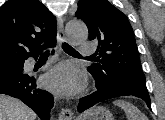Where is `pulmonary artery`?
Returning a JSON list of instances; mask_svg holds the SVG:
<instances>
[{
    "mask_svg": "<svg viewBox=\"0 0 165 120\" xmlns=\"http://www.w3.org/2000/svg\"><path fill=\"white\" fill-rule=\"evenodd\" d=\"M95 52V45L90 42H84L80 45V54L87 56Z\"/></svg>",
    "mask_w": 165,
    "mask_h": 120,
    "instance_id": "1",
    "label": "pulmonary artery"
}]
</instances>
